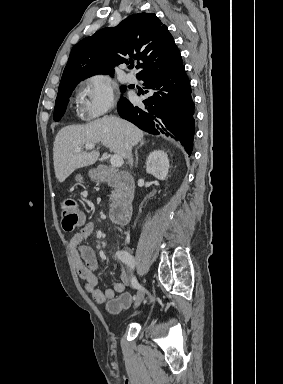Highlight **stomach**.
<instances>
[{"label":"stomach","instance_id":"stomach-1","mask_svg":"<svg viewBox=\"0 0 283 384\" xmlns=\"http://www.w3.org/2000/svg\"><path fill=\"white\" fill-rule=\"evenodd\" d=\"M90 176H91V178H92V174H91V172H90ZM77 180H78V182H82V178H81V176H77Z\"/></svg>","mask_w":283,"mask_h":384}]
</instances>
